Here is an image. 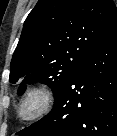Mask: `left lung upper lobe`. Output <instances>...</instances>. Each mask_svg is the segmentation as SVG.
Wrapping results in <instances>:
<instances>
[{
    "label": "left lung upper lobe",
    "instance_id": "1",
    "mask_svg": "<svg viewBox=\"0 0 117 136\" xmlns=\"http://www.w3.org/2000/svg\"><path fill=\"white\" fill-rule=\"evenodd\" d=\"M117 24L113 0H39L11 61L10 83H44L56 95L91 50Z\"/></svg>",
    "mask_w": 117,
    "mask_h": 136
}]
</instances>
